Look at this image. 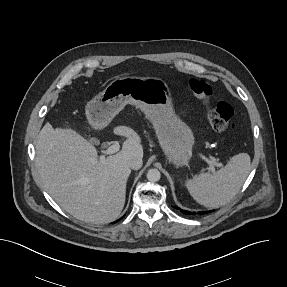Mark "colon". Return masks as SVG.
<instances>
[{
  "label": "colon",
  "mask_w": 287,
  "mask_h": 287,
  "mask_svg": "<svg viewBox=\"0 0 287 287\" xmlns=\"http://www.w3.org/2000/svg\"><path fill=\"white\" fill-rule=\"evenodd\" d=\"M189 88L199 99L206 111V116L216 131H233L234 123L231 121L232 108L227 103H212V88L204 80L200 78H191L188 81Z\"/></svg>",
  "instance_id": "obj_1"
}]
</instances>
